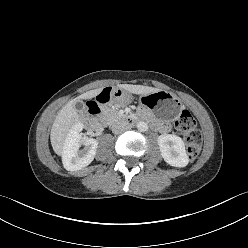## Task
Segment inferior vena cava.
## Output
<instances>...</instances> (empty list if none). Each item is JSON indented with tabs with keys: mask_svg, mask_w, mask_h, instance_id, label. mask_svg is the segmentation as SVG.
Wrapping results in <instances>:
<instances>
[{
	"mask_svg": "<svg viewBox=\"0 0 248 248\" xmlns=\"http://www.w3.org/2000/svg\"><path fill=\"white\" fill-rule=\"evenodd\" d=\"M128 129V126L123 122H116L112 125V132L114 134H119Z\"/></svg>",
	"mask_w": 248,
	"mask_h": 248,
	"instance_id": "602c4592",
	"label": "inferior vena cava"
}]
</instances>
